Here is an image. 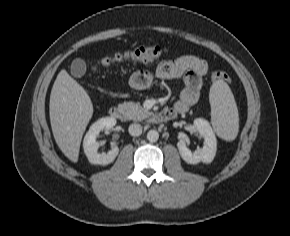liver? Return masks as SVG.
Returning <instances> with one entry per match:
<instances>
[{
	"mask_svg": "<svg viewBox=\"0 0 290 236\" xmlns=\"http://www.w3.org/2000/svg\"><path fill=\"white\" fill-rule=\"evenodd\" d=\"M49 115L58 147L69 160L77 162L82 136L93 115V104L85 89L64 69L51 90Z\"/></svg>",
	"mask_w": 290,
	"mask_h": 236,
	"instance_id": "liver-1",
	"label": "liver"
}]
</instances>
